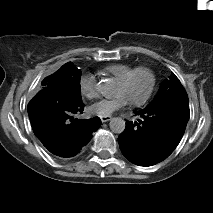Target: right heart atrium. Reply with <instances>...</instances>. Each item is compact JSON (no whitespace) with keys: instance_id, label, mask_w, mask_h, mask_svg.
<instances>
[{"instance_id":"obj_1","label":"right heart atrium","mask_w":213,"mask_h":213,"mask_svg":"<svg viewBox=\"0 0 213 213\" xmlns=\"http://www.w3.org/2000/svg\"><path fill=\"white\" fill-rule=\"evenodd\" d=\"M82 93L88 97H96L99 92V85L94 74H88L81 78Z\"/></svg>"}]
</instances>
